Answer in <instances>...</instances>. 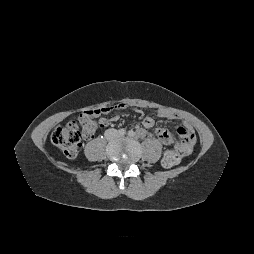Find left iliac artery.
Wrapping results in <instances>:
<instances>
[{
    "mask_svg": "<svg viewBox=\"0 0 254 254\" xmlns=\"http://www.w3.org/2000/svg\"><path fill=\"white\" fill-rule=\"evenodd\" d=\"M128 135H129L130 137H133V136L135 135V132H134L133 130H130V131L128 132Z\"/></svg>",
    "mask_w": 254,
    "mask_h": 254,
    "instance_id": "1",
    "label": "left iliac artery"
}]
</instances>
